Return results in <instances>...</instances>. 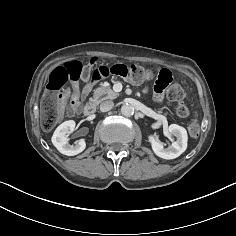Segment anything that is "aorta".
Listing matches in <instances>:
<instances>
[{
    "instance_id": "aorta-1",
    "label": "aorta",
    "mask_w": 236,
    "mask_h": 236,
    "mask_svg": "<svg viewBox=\"0 0 236 236\" xmlns=\"http://www.w3.org/2000/svg\"><path fill=\"white\" fill-rule=\"evenodd\" d=\"M121 113L124 116H131L134 113V107L130 104H124L121 107Z\"/></svg>"
}]
</instances>
